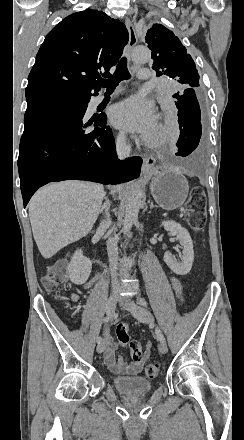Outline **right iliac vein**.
Here are the masks:
<instances>
[{"instance_id":"obj_1","label":"right iliac vein","mask_w":244,"mask_h":440,"mask_svg":"<svg viewBox=\"0 0 244 440\" xmlns=\"http://www.w3.org/2000/svg\"><path fill=\"white\" fill-rule=\"evenodd\" d=\"M116 306H117V297H116V295H112L108 298V300L106 302L107 315H110L112 317V315L115 312ZM108 341H109V339L107 337L104 339V341H102L101 343L98 344V346H97L98 353H102L105 350Z\"/></svg>"}]
</instances>
